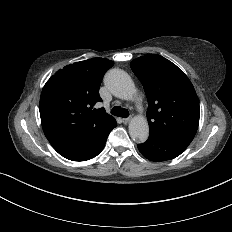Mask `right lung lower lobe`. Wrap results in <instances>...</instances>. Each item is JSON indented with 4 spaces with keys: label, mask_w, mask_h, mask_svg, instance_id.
<instances>
[{
    "label": "right lung lower lobe",
    "mask_w": 232,
    "mask_h": 232,
    "mask_svg": "<svg viewBox=\"0 0 232 232\" xmlns=\"http://www.w3.org/2000/svg\"><path fill=\"white\" fill-rule=\"evenodd\" d=\"M116 125V120H114L106 128L88 134L86 137L71 141L49 142L63 157L72 161H86L94 158L103 150L109 133Z\"/></svg>",
    "instance_id": "1"
}]
</instances>
